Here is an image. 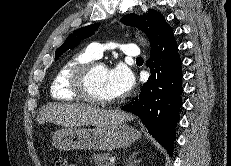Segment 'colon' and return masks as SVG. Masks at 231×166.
I'll list each match as a JSON object with an SVG mask.
<instances>
[{
  "mask_svg": "<svg viewBox=\"0 0 231 166\" xmlns=\"http://www.w3.org/2000/svg\"><path fill=\"white\" fill-rule=\"evenodd\" d=\"M51 162L52 166H75L70 160L60 156L53 157Z\"/></svg>",
  "mask_w": 231,
  "mask_h": 166,
  "instance_id": "obj_1",
  "label": "colon"
}]
</instances>
